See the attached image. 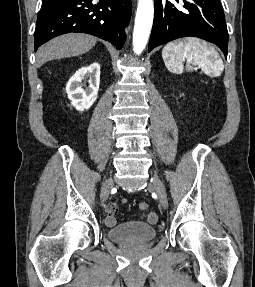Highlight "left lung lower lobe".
<instances>
[{
    "label": "left lung lower lobe",
    "instance_id": "obj_1",
    "mask_svg": "<svg viewBox=\"0 0 255 287\" xmlns=\"http://www.w3.org/2000/svg\"><path fill=\"white\" fill-rule=\"evenodd\" d=\"M193 36L216 44L227 59L228 31L220 0H155L148 52L171 40Z\"/></svg>",
    "mask_w": 255,
    "mask_h": 287
}]
</instances>
